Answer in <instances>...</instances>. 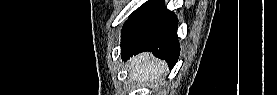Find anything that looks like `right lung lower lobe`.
<instances>
[{
	"mask_svg": "<svg viewBox=\"0 0 277 95\" xmlns=\"http://www.w3.org/2000/svg\"><path fill=\"white\" fill-rule=\"evenodd\" d=\"M177 24V17L166 9L163 0L146 2L123 26L122 58L126 60L140 52L152 51L156 57L165 60L172 69L180 51Z\"/></svg>",
	"mask_w": 277,
	"mask_h": 95,
	"instance_id": "1",
	"label": "right lung lower lobe"
}]
</instances>
